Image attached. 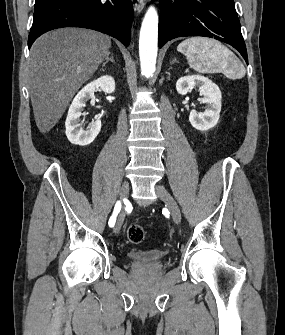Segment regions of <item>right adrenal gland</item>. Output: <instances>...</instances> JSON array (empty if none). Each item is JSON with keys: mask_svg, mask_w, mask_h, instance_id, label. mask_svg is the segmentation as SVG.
Segmentation results:
<instances>
[{"mask_svg": "<svg viewBox=\"0 0 285 335\" xmlns=\"http://www.w3.org/2000/svg\"><path fill=\"white\" fill-rule=\"evenodd\" d=\"M110 56V58H109ZM108 62H113V64H115V60H113V54H107V58H106V62H104V64H102V68H105L106 64H108Z\"/></svg>", "mask_w": 285, "mask_h": 335, "instance_id": "2a0ac1e0", "label": "right adrenal gland"}]
</instances>
